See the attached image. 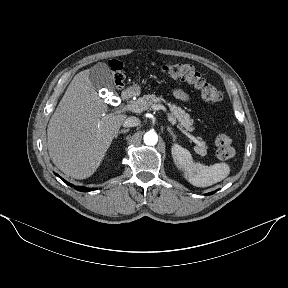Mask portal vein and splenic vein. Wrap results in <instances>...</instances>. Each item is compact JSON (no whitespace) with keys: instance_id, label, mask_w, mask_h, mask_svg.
<instances>
[{"instance_id":"1","label":"portal vein and splenic vein","mask_w":288,"mask_h":288,"mask_svg":"<svg viewBox=\"0 0 288 288\" xmlns=\"http://www.w3.org/2000/svg\"><path fill=\"white\" fill-rule=\"evenodd\" d=\"M152 108L154 110H163L167 116H168V119L172 122V124H176V120L171 116L170 113L167 112V109L161 105V104H156V105H153ZM122 111H132V112H136V113H140L142 112L143 110L135 103H131V104H128L126 106H124L122 108ZM121 110H116L115 113H120ZM177 127L190 139L192 140L194 143H196L197 145H200V142L193 136L191 135L190 133H188L186 130H184L182 127L178 126Z\"/></svg>"}]
</instances>
